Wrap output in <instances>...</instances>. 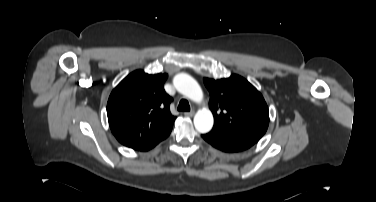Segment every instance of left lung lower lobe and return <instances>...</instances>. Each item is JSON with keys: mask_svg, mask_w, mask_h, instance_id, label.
I'll return each instance as SVG.
<instances>
[{"mask_svg": "<svg viewBox=\"0 0 376 202\" xmlns=\"http://www.w3.org/2000/svg\"><path fill=\"white\" fill-rule=\"evenodd\" d=\"M202 137L209 144L224 152H239L250 148L256 143V141L215 127L210 132L202 135Z\"/></svg>", "mask_w": 376, "mask_h": 202, "instance_id": "obj_1", "label": "left lung lower lobe"}]
</instances>
